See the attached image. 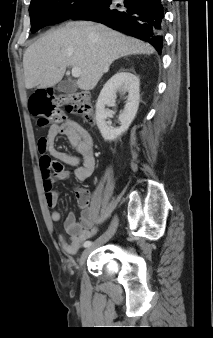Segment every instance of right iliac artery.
Listing matches in <instances>:
<instances>
[{
	"mask_svg": "<svg viewBox=\"0 0 213 338\" xmlns=\"http://www.w3.org/2000/svg\"><path fill=\"white\" fill-rule=\"evenodd\" d=\"M91 245H92V242L89 241V240L85 241L84 244H83L84 247H89Z\"/></svg>",
	"mask_w": 213,
	"mask_h": 338,
	"instance_id": "obj_1",
	"label": "right iliac artery"
}]
</instances>
